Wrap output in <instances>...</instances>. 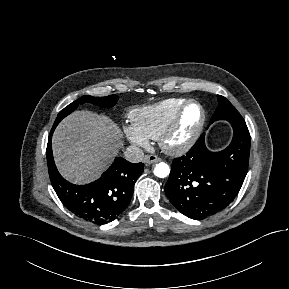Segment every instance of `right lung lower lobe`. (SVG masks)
<instances>
[{
    "mask_svg": "<svg viewBox=\"0 0 289 289\" xmlns=\"http://www.w3.org/2000/svg\"><path fill=\"white\" fill-rule=\"evenodd\" d=\"M52 127L47 144V164L51 184L61 202L75 215L97 224L113 221L130 203L135 181L142 174V163H130L115 158L110 168L98 180L75 185L58 172L52 154Z\"/></svg>",
    "mask_w": 289,
    "mask_h": 289,
    "instance_id": "right-lung-lower-lobe-1",
    "label": "right lung lower lobe"
}]
</instances>
